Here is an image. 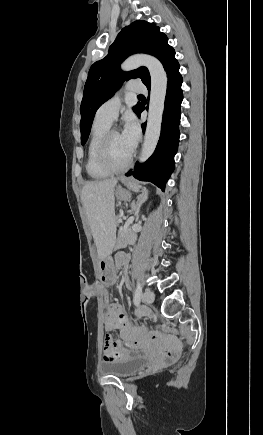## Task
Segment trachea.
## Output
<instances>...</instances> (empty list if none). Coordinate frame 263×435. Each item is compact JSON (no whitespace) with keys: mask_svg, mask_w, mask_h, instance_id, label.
Segmentation results:
<instances>
[{"mask_svg":"<svg viewBox=\"0 0 263 435\" xmlns=\"http://www.w3.org/2000/svg\"><path fill=\"white\" fill-rule=\"evenodd\" d=\"M138 97H143V95H139Z\"/></svg>","mask_w":263,"mask_h":435,"instance_id":"1","label":"trachea"}]
</instances>
